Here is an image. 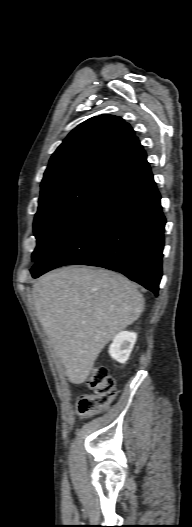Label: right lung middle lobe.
Returning <instances> with one entry per match:
<instances>
[{"label": "right lung middle lobe", "mask_w": 192, "mask_h": 527, "mask_svg": "<svg viewBox=\"0 0 192 527\" xmlns=\"http://www.w3.org/2000/svg\"><path fill=\"white\" fill-rule=\"evenodd\" d=\"M107 180L85 177L41 192L34 220L37 247L32 261H39L77 219Z\"/></svg>", "instance_id": "obj_1"}]
</instances>
